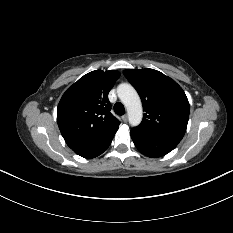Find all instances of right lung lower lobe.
I'll list each match as a JSON object with an SVG mask.
<instances>
[{"label":"right lung lower lobe","mask_w":233,"mask_h":233,"mask_svg":"<svg viewBox=\"0 0 233 233\" xmlns=\"http://www.w3.org/2000/svg\"><path fill=\"white\" fill-rule=\"evenodd\" d=\"M115 133L105 137L104 139H102V140H100L92 145L76 148V149H73V151L76 154H78L84 158L97 157L100 154H102L109 147Z\"/></svg>","instance_id":"right-lung-lower-lobe-1"}]
</instances>
